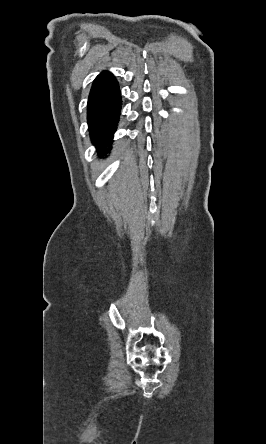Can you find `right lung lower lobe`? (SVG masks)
<instances>
[{"mask_svg": "<svg viewBox=\"0 0 266 444\" xmlns=\"http://www.w3.org/2000/svg\"><path fill=\"white\" fill-rule=\"evenodd\" d=\"M121 94L115 77L102 72L93 82L87 107L91 140L100 157L111 149L113 133L119 120Z\"/></svg>", "mask_w": 266, "mask_h": 444, "instance_id": "obj_1", "label": "right lung lower lobe"}]
</instances>
